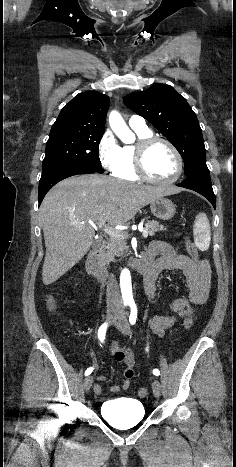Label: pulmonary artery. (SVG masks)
Returning <instances> with one entry per match:
<instances>
[{"label": "pulmonary artery", "instance_id": "obj_1", "mask_svg": "<svg viewBox=\"0 0 236 467\" xmlns=\"http://www.w3.org/2000/svg\"><path fill=\"white\" fill-rule=\"evenodd\" d=\"M129 125L133 129H148L145 119L139 115H132L129 118Z\"/></svg>", "mask_w": 236, "mask_h": 467}]
</instances>
